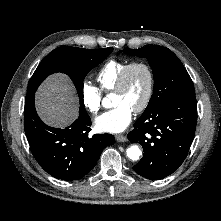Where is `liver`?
Segmentation results:
<instances>
[{"instance_id": "6515ba94", "label": "liver", "mask_w": 221, "mask_h": 221, "mask_svg": "<svg viewBox=\"0 0 221 221\" xmlns=\"http://www.w3.org/2000/svg\"><path fill=\"white\" fill-rule=\"evenodd\" d=\"M40 118L53 127H66L78 115V104L69 78L63 74L48 77L36 92Z\"/></svg>"}]
</instances>
